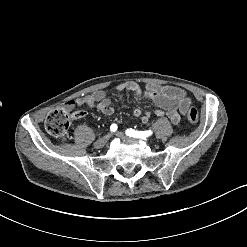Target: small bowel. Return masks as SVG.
Segmentation results:
<instances>
[{
    "mask_svg": "<svg viewBox=\"0 0 247 247\" xmlns=\"http://www.w3.org/2000/svg\"><path fill=\"white\" fill-rule=\"evenodd\" d=\"M116 90L119 92L118 101L122 100V93L125 91L130 92L135 99L146 98L152 100L158 106L154 114L161 116L165 111L173 124L180 121V113H184L186 107L190 105V98L187 93L175 86L148 85L142 88L136 82L128 81L118 84ZM75 107L96 108L107 116H113L115 113L111 99L106 96L103 90H96L89 95L69 100L63 104L65 110H72ZM77 113V119L87 115L85 110H79ZM133 114L137 117L142 115L143 122H147L152 116L150 110L143 112L141 108L134 109Z\"/></svg>",
    "mask_w": 247,
    "mask_h": 247,
    "instance_id": "small-bowel-1",
    "label": "small bowel"
}]
</instances>
